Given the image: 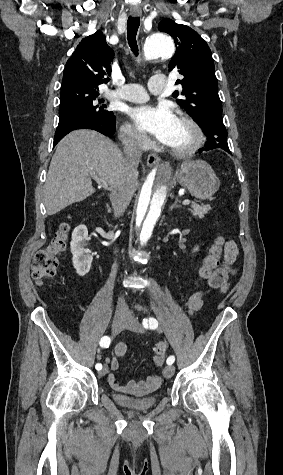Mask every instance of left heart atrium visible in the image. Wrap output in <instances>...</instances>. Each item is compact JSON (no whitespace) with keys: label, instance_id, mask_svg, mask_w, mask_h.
Masks as SVG:
<instances>
[{"label":"left heart atrium","instance_id":"1","mask_svg":"<svg viewBox=\"0 0 283 475\" xmlns=\"http://www.w3.org/2000/svg\"><path fill=\"white\" fill-rule=\"evenodd\" d=\"M130 115L139 130L151 134L162 142H167L173 135L171 131L176 117L167 104L134 108Z\"/></svg>","mask_w":283,"mask_h":475}]
</instances>
